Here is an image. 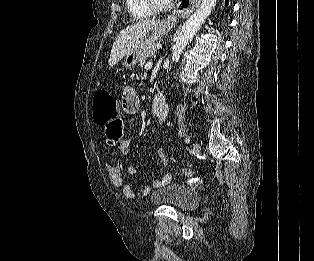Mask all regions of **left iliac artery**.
Segmentation results:
<instances>
[{
  "label": "left iliac artery",
  "mask_w": 314,
  "mask_h": 261,
  "mask_svg": "<svg viewBox=\"0 0 314 261\" xmlns=\"http://www.w3.org/2000/svg\"><path fill=\"white\" fill-rule=\"evenodd\" d=\"M185 142H186V143H190V138H189V137H186V138H185Z\"/></svg>",
  "instance_id": "1"
}]
</instances>
